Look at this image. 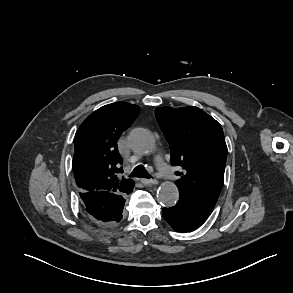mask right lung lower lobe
I'll use <instances>...</instances> for the list:
<instances>
[{"label":"right lung lower lobe","instance_id":"right-lung-lower-lobe-1","mask_svg":"<svg viewBox=\"0 0 293 293\" xmlns=\"http://www.w3.org/2000/svg\"><path fill=\"white\" fill-rule=\"evenodd\" d=\"M134 184L125 192H85L80 193L83 207L89 220L94 224L110 227L122 219L125 195L132 192Z\"/></svg>","mask_w":293,"mask_h":293}]
</instances>
